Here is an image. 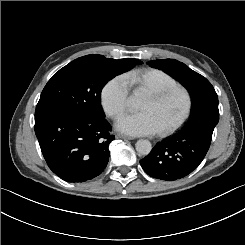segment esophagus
I'll return each instance as SVG.
<instances>
[{
	"label": "esophagus",
	"instance_id": "1",
	"mask_svg": "<svg viewBox=\"0 0 245 245\" xmlns=\"http://www.w3.org/2000/svg\"><path fill=\"white\" fill-rule=\"evenodd\" d=\"M117 139H127V140H134L135 138L132 136H127L124 134H116Z\"/></svg>",
	"mask_w": 245,
	"mask_h": 245
}]
</instances>
